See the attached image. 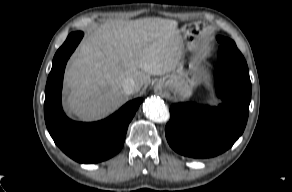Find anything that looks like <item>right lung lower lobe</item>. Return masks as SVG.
<instances>
[{"mask_svg":"<svg viewBox=\"0 0 292 192\" xmlns=\"http://www.w3.org/2000/svg\"><path fill=\"white\" fill-rule=\"evenodd\" d=\"M82 37L83 32L70 33L53 58L45 89L44 116L51 137L65 154L80 163H97L120 151L128 125L142 99L126 103L116 113L98 122H74L66 117L61 106L63 74L68 58Z\"/></svg>","mask_w":292,"mask_h":192,"instance_id":"obj_1","label":"right lung lower lobe"}]
</instances>
